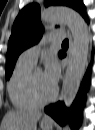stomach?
<instances>
[{
  "mask_svg": "<svg viewBox=\"0 0 95 130\" xmlns=\"http://www.w3.org/2000/svg\"><path fill=\"white\" fill-rule=\"evenodd\" d=\"M41 129L42 130H52V123L44 124L43 122L41 123Z\"/></svg>",
  "mask_w": 95,
  "mask_h": 130,
  "instance_id": "0dacf381",
  "label": "stomach"
}]
</instances>
